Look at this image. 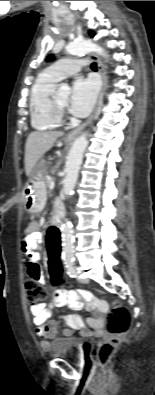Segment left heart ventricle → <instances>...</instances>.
<instances>
[{"mask_svg":"<svg viewBox=\"0 0 155 395\" xmlns=\"http://www.w3.org/2000/svg\"><path fill=\"white\" fill-rule=\"evenodd\" d=\"M55 98L57 100V102L59 103V105H61L62 107H66L68 104V94L67 93H57L55 94Z\"/></svg>","mask_w":155,"mask_h":395,"instance_id":"1","label":"left heart ventricle"}]
</instances>
